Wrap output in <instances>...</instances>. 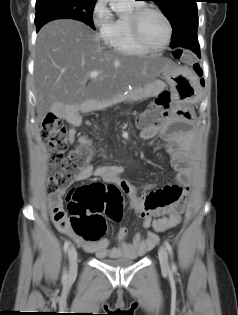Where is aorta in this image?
<instances>
[{
  "mask_svg": "<svg viewBox=\"0 0 238 315\" xmlns=\"http://www.w3.org/2000/svg\"><path fill=\"white\" fill-rule=\"evenodd\" d=\"M110 2L111 8L115 12H124L127 9L126 0H108Z\"/></svg>",
  "mask_w": 238,
  "mask_h": 315,
  "instance_id": "762f6f07",
  "label": "aorta"
}]
</instances>
